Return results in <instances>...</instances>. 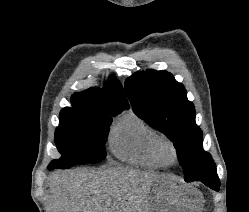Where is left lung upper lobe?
<instances>
[{
    "label": "left lung upper lobe",
    "mask_w": 249,
    "mask_h": 212,
    "mask_svg": "<svg viewBox=\"0 0 249 212\" xmlns=\"http://www.w3.org/2000/svg\"><path fill=\"white\" fill-rule=\"evenodd\" d=\"M125 90L135 114L174 141L185 180L218 178L211 155L203 151L194 106L187 100L184 86L172 74L155 70L136 72L126 80Z\"/></svg>",
    "instance_id": "5c2ea615"
}]
</instances>
